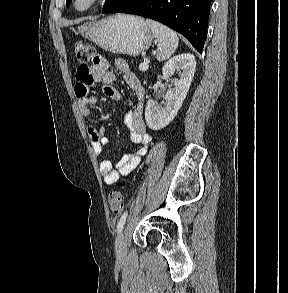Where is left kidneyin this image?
<instances>
[{"instance_id": "left-kidney-1", "label": "left kidney", "mask_w": 288, "mask_h": 293, "mask_svg": "<svg viewBox=\"0 0 288 293\" xmlns=\"http://www.w3.org/2000/svg\"><path fill=\"white\" fill-rule=\"evenodd\" d=\"M195 68V58L189 53L177 55L164 65L162 69L164 78L171 79L175 71L179 78L171 79L174 87L166 92L164 102L158 104L153 99L147 101L145 120L150 129L160 130L175 118L189 91Z\"/></svg>"}]
</instances>
